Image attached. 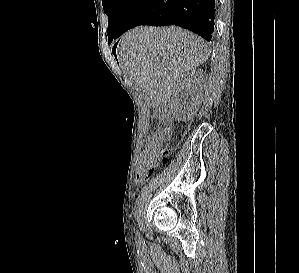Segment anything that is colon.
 I'll return each instance as SVG.
<instances>
[{"label": "colon", "instance_id": "5ec220e1", "mask_svg": "<svg viewBox=\"0 0 299 273\" xmlns=\"http://www.w3.org/2000/svg\"><path fill=\"white\" fill-rule=\"evenodd\" d=\"M160 135H154L148 139L137 168V179L149 178L154 172L158 159H166L168 148L160 144Z\"/></svg>", "mask_w": 299, "mask_h": 273}]
</instances>
